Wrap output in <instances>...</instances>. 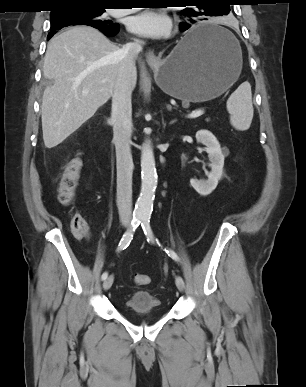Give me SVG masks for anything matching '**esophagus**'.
<instances>
[{
	"mask_svg": "<svg viewBox=\"0 0 306 387\" xmlns=\"http://www.w3.org/2000/svg\"><path fill=\"white\" fill-rule=\"evenodd\" d=\"M145 56H146V61L150 66H154L159 62V58L152 50H149Z\"/></svg>",
	"mask_w": 306,
	"mask_h": 387,
	"instance_id": "obj_1",
	"label": "esophagus"
}]
</instances>
